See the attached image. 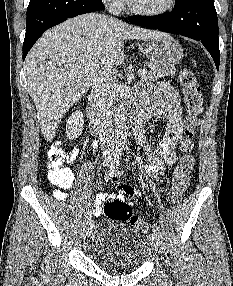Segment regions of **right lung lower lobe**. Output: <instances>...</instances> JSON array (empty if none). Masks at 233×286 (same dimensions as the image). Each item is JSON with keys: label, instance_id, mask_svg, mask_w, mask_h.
<instances>
[{"label": "right lung lower lobe", "instance_id": "right-lung-lower-lobe-1", "mask_svg": "<svg viewBox=\"0 0 233 286\" xmlns=\"http://www.w3.org/2000/svg\"><path fill=\"white\" fill-rule=\"evenodd\" d=\"M104 9L101 0H30L27 8L23 60L48 28L77 15Z\"/></svg>", "mask_w": 233, "mask_h": 286}]
</instances>
